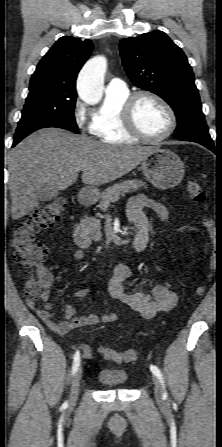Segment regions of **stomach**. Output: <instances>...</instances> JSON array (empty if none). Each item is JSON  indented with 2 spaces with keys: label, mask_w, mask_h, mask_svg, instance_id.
Wrapping results in <instances>:
<instances>
[{
  "label": "stomach",
  "mask_w": 222,
  "mask_h": 447,
  "mask_svg": "<svg viewBox=\"0 0 222 447\" xmlns=\"http://www.w3.org/2000/svg\"><path fill=\"white\" fill-rule=\"evenodd\" d=\"M140 170L155 187L169 189L178 185L184 177L185 166L172 151L154 148L141 162ZM98 190L91 189L89 198H97Z\"/></svg>",
  "instance_id": "0dacf381"
}]
</instances>
